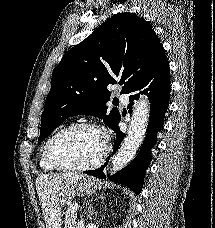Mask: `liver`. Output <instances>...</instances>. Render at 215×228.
<instances>
[{"label": "liver", "mask_w": 215, "mask_h": 228, "mask_svg": "<svg viewBox=\"0 0 215 228\" xmlns=\"http://www.w3.org/2000/svg\"><path fill=\"white\" fill-rule=\"evenodd\" d=\"M83 176L76 172L69 174H42L36 178V190L39 196L46 228H60L62 214L60 192L65 184H75Z\"/></svg>", "instance_id": "6515ba94"}]
</instances>
